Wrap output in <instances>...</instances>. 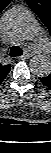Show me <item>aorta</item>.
<instances>
[{"label":"aorta","instance_id":"aorta-1","mask_svg":"<svg viewBox=\"0 0 51 153\" xmlns=\"http://www.w3.org/2000/svg\"><path fill=\"white\" fill-rule=\"evenodd\" d=\"M4 31L12 39L31 40L38 32V24L31 14L23 8H12L6 12L3 20ZM30 69L38 77H47L51 73V60L44 55H35L30 60Z\"/></svg>","mask_w":51,"mask_h":153}]
</instances>
